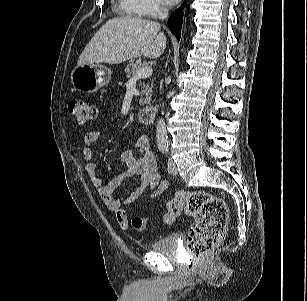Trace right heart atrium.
I'll return each mask as SVG.
<instances>
[{
    "instance_id": "1",
    "label": "right heart atrium",
    "mask_w": 307,
    "mask_h": 301,
    "mask_svg": "<svg viewBox=\"0 0 307 301\" xmlns=\"http://www.w3.org/2000/svg\"><path fill=\"white\" fill-rule=\"evenodd\" d=\"M138 9L142 16L154 18L164 12L162 0H137Z\"/></svg>"
}]
</instances>
